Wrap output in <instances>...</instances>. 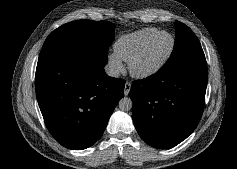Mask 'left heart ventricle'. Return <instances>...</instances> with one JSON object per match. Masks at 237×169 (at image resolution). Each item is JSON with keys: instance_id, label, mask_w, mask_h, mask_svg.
I'll return each mask as SVG.
<instances>
[{"instance_id": "obj_1", "label": "left heart ventricle", "mask_w": 237, "mask_h": 169, "mask_svg": "<svg viewBox=\"0 0 237 169\" xmlns=\"http://www.w3.org/2000/svg\"><path fill=\"white\" fill-rule=\"evenodd\" d=\"M170 45L171 40L167 34L159 36L148 48L142 59L137 64V67L139 69H145L153 66L167 54Z\"/></svg>"}]
</instances>
